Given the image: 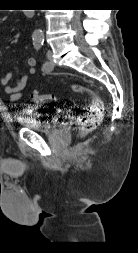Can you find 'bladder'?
Returning a JSON list of instances; mask_svg holds the SVG:
<instances>
[{"label": "bladder", "instance_id": "bladder-1", "mask_svg": "<svg viewBox=\"0 0 138 253\" xmlns=\"http://www.w3.org/2000/svg\"><path fill=\"white\" fill-rule=\"evenodd\" d=\"M38 107L25 110L20 118V124L27 128L42 133H52L61 127L55 115L45 114Z\"/></svg>", "mask_w": 138, "mask_h": 253}]
</instances>
